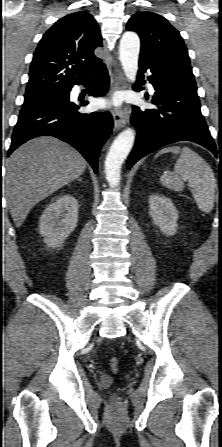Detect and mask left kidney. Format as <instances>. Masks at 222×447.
Returning a JSON list of instances; mask_svg holds the SVG:
<instances>
[{
	"instance_id": "obj_1",
	"label": "left kidney",
	"mask_w": 222,
	"mask_h": 447,
	"mask_svg": "<svg viewBox=\"0 0 222 447\" xmlns=\"http://www.w3.org/2000/svg\"><path fill=\"white\" fill-rule=\"evenodd\" d=\"M150 216L154 223L167 236H172L177 230L178 212L172 201L162 195L152 194L149 198Z\"/></svg>"
}]
</instances>
